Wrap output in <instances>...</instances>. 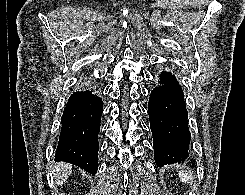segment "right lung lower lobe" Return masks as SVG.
Segmentation results:
<instances>
[{"label": "right lung lower lobe", "instance_id": "1", "mask_svg": "<svg viewBox=\"0 0 245 195\" xmlns=\"http://www.w3.org/2000/svg\"><path fill=\"white\" fill-rule=\"evenodd\" d=\"M103 102L96 89L74 92L62 115L55 161L69 162L95 175L98 168V133Z\"/></svg>", "mask_w": 245, "mask_h": 195}]
</instances>
